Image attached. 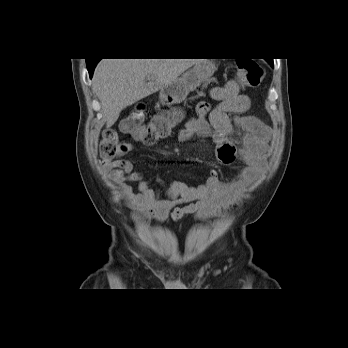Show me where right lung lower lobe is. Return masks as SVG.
<instances>
[{
	"instance_id": "1",
	"label": "right lung lower lobe",
	"mask_w": 348,
	"mask_h": 348,
	"mask_svg": "<svg viewBox=\"0 0 348 348\" xmlns=\"http://www.w3.org/2000/svg\"><path fill=\"white\" fill-rule=\"evenodd\" d=\"M98 61H99V60H89V59H86L87 68H88L90 77H92L94 68H95V66H96V64H97Z\"/></svg>"
}]
</instances>
